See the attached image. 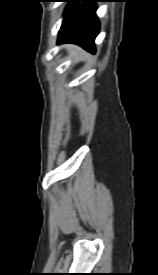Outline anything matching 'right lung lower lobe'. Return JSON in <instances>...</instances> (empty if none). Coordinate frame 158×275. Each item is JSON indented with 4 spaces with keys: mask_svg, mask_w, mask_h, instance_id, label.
I'll use <instances>...</instances> for the list:
<instances>
[{
    "mask_svg": "<svg viewBox=\"0 0 158 275\" xmlns=\"http://www.w3.org/2000/svg\"><path fill=\"white\" fill-rule=\"evenodd\" d=\"M98 0H69L58 35V44L74 43L95 53L94 40L100 23L96 15ZM82 2L81 4H79Z\"/></svg>",
    "mask_w": 158,
    "mask_h": 275,
    "instance_id": "1",
    "label": "right lung lower lobe"
}]
</instances>
